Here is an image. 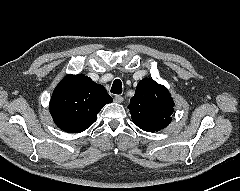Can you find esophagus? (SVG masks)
<instances>
[{
  "label": "esophagus",
  "mask_w": 240,
  "mask_h": 191,
  "mask_svg": "<svg viewBox=\"0 0 240 191\" xmlns=\"http://www.w3.org/2000/svg\"><path fill=\"white\" fill-rule=\"evenodd\" d=\"M114 101H115L116 103H122V102H123V97L120 96V95H116V96L114 97Z\"/></svg>",
  "instance_id": "obj_1"
}]
</instances>
